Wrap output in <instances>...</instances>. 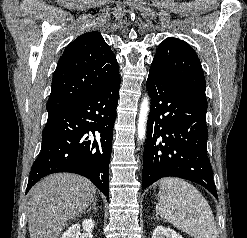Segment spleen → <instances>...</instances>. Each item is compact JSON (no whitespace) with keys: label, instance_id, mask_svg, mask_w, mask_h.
I'll return each instance as SVG.
<instances>
[{"label":"spleen","instance_id":"obj_1","mask_svg":"<svg viewBox=\"0 0 247 238\" xmlns=\"http://www.w3.org/2000/svg\"><path fill=\"white\" fill-rule=\"evenodd\" d=\"M159 188L157 214L194 238H217L210 205L193 185L167 177L159 181Z\"/></svg>","mask_w":247,"mask_h":238}]
</instances>
